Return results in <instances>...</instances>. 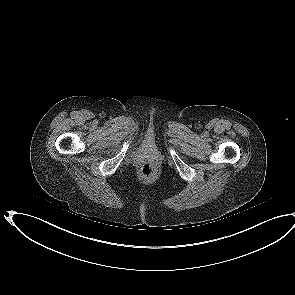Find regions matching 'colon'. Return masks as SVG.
<instances>
[{"mask_svg":"<svg viewBox=\"0 0 295 295\" xmlns=\"http://www.w3.org/2000/svg\"><path fill=\"white\" fill-rule=\"evenodd\" d=\"M141 174L144 178L150 179L155 175V169L152 165L145 164L141 169Z\"/></svg>","mask_w":295,"mask_h":295,"instance_id":"5ec220e1","label":"colon"}]
</instances>
